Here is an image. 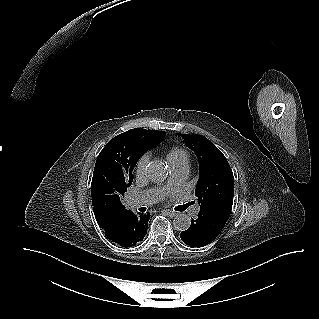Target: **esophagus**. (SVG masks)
<instances>
[{"mask_svg":"<svg viewBox=\"0 0 319 319\" xmlns=\"http://www.w3.org/2000/svg\"><path fill=\"white\" fill-rule=\"evenodd\" d=\"M164 212L169 216V217H174L176 216V212L174 211H171V210H168V209H165Z\"/></svg>","mask_w":319,"mask_h":319,"instance_id":"obj_1","label":"esophagus"}]
</instances>
